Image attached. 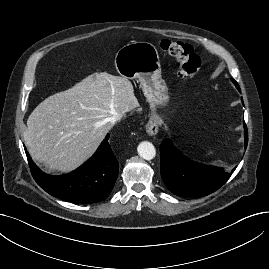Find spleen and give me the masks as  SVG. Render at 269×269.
I'll use <instances>...</instances> for the list:
<instances>
[{
	"label": "spleen",
	"instance_id": "spleen-1",
	"mask_svg": "<svg viewBox=\"0 0 269 269\" xmlns=\"http://www.w3.org/2000/svg\"><path fill=\"white\" fill-rule=\"evenodd\" d=\"M212 153H213V151H210V152L208 153V155H209V154H212Z\"/></svg>",
	"mask_w": 269,
	"mask_h": 269
}]
</instances>
